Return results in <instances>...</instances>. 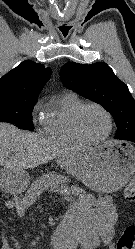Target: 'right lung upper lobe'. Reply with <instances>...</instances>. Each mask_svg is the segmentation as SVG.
Returning <instances> with one entry per match:
<instances>
[{"label":"right lung upper lobe","mask_w":135,"mask_h":249,"mask_svg":"<svg viewBox=\"0 0 135 249\" xmlns=\"http://www.w3.org/2000/svg\"><path fill=\"white\" fill-rule=\"evenodd\" d=\"M51 68L30 60L0 78V95H17L36 98L51 77Z\"/></svg>","instance_id":"obj_1"}]
</instances>
